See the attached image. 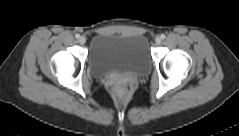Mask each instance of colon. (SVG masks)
Segmentation results:
<instances>
[{
  "instance_id": "colon-1",
  "label": "colon",
  "mask_w": 239,
  "mask_h": 136,
  "mask_svg": "<svg viewBox=\"0 0 239 136\" xmlns=\"http://www.w3.org/2000/svg\"><path fill=\"white\" fill-rule=\"evenodd\" d=\"M127 89V84L124 81L117 80L112 83V93L117 97H125Z\"/></svg>"
}]
</instances>
